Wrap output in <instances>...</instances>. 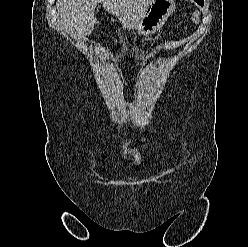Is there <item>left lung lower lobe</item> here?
I'll return each mask as SVG.
<instances>
[{
	"mask_svg": "<svg viewBox=\"0 0 248 247\" xmlns=\"http://www.w3.org/2000/svg\"><path fill=\"white\" fill-rule=\"evenodd\" d=\"M200 6L204 5V1L203 0H195Z\"/></svg>",
	"mask_w": 248,
	"mask_h": 247,
	"instance_id": "1",
	"label": "left lung lower lobe"
}]
</instances>
